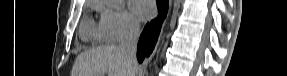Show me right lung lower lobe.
Masks as SVG:
<instances>
[{
    "mask_svg": "<svg viewBox=\"0 0 287 76\" xmlns=\"http://www.w3.org/2000/svg\"><path fill=\"white\" fill-rule=\"evenodd\" d=\"M159 8V15L155 20L148 23L138 42L137 46V59L141 63L145 57L150 56L155 47V43L158 39L159 31L161 29L162 22L166 17L168 10V0H156Z\"/></svg>",
    "mask_w": 287,
    "mask_h": 76,
    "instance_id": "98d812e1",
    "label": "right lung lower lobe"
}]
</instances>
